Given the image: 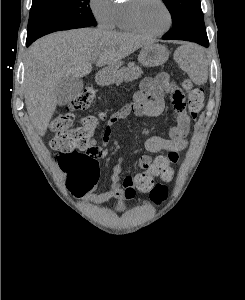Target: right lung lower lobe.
I'll return each mask as SVG.
<instances>
[{
    "label": "right lung lower lobe",
    "instance_id": "98d812e1",
    "mask_svg": "<svg viewBox=\"0 0 245 300\" xmlns=\"http://www.w3.org/2000/svg\"><path fill=\"white\" fill-rule=\"evenodd\" d=\"M33 41H26V45L29 46Z\"/></svg>",
    "mask_w": 245,
    "mask_h": 300
}]
</instances>
